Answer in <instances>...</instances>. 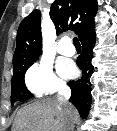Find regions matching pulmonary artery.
Listing matches in <instances>:
<instances>
[{
	"label": "pulmonary artery",
	"mask_w": 117,
	"mask_h": 131,
	"mask_svg": "<svg viewBox=\"0 0 117 131\" xmlns=\"http://www.w3.org/2000/svg\"><path fill=\"white\" fill-rule=\"evenodd\" d=\"M57 51L62 55L72 56L75 53V48L71 44V40L68 37H64L59 41Z\"/></svg>",
	"instance_id": "obj_1"
}]
</instances>
